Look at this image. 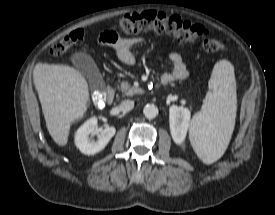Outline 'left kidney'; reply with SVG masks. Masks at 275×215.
<instances>
[{
  "label": "left kidney",
  "mask_w": 275,
  "mask_h": 215,
  "mask_svg": "<svg viewBox=\"0 0 275 215\" xmlns=\"http://www.w3.org/2000/svg\"><path fill=\"white\" fill-rule=\"evenodd\" d=\"M191 113L184 107L173 105L169 109V124L172 138L176 144H181L187 135Z\"/></svg>",
  "instance_id": "1"
}]
</instances>
